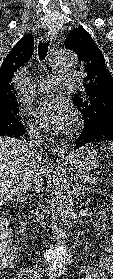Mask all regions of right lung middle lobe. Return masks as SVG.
Returning a JSON list of instances; mask_svg holds the SVG:
<instances>
[{
  "label": "right lung middle lobe",
  "instance_id": "obj_1",
  "mask_svg": "<svg viewBox=\"0 0 113 279\" xmlns=\"http://www.w3.org/2000/svg\"><path fill=\"white\" fill-rule=\"evenodd\" d=\"M18 112V102L10 106L0 108V133H4L14 128L23 127L20 121L21 117Z\"/></svg>",
  "mask_w": 113,
  "mask_h": 279
}]
</instances>
